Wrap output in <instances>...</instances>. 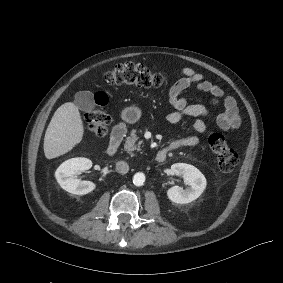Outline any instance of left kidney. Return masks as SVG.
Segmentation results:
<instances>
[{"label":"left kidney","mask_w":283,"mask_h":283,"mask_svg":"<svg viewBox=\"0 0 283 283\" xmlns=\"http://www.w3.org/2000/svg\"><path fill=\"white\" fill-rule=\"evenodd\" d=\"M173 174L180 175L188 188L173 186L167 190L168 198L177 204H186L196 200L205 190L207 182L199 169L186 163H175L171 166Z\"/></svg>","instance_id":"5707ae66"}]
</instances>
